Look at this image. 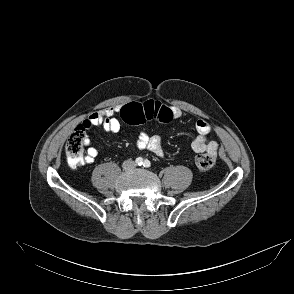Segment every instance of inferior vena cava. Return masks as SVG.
<instances>
[{"label":"inferior vena cava","instance_id":"1","mask_svg":"<svg viewBox=\"0 0 294 294\" xmlns=\"http://www.w3.org/2000/svg\"><path fill=\"white\" fill-rule=\"evenodd\" d=\"M135 162L132 160H126L123 162L122 167L124 170H130L135 167Z\"/></svg>","mask_w":294,"mask_h":294}]
</instances>
